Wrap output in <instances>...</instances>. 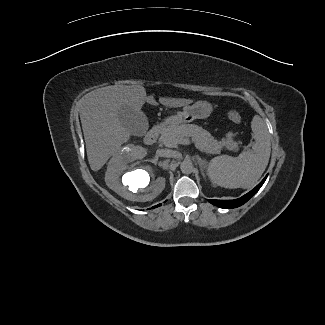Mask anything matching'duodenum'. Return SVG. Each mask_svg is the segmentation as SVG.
<instances>
[{
    "label": "duodenum",
    "instance_id": "obj_1",
    "mask_svg": "<svg viewBox=\"0 0 325 325\" xmlns=\"http://www.w3.org/2000/svg\"><path fill=\"white\" fill-rule=\"evenodd\" d=\"M160 126H155L152 128L144 137V143L146 145H152L159 136Z\"/></svg>",
    "mask_w": 325,
    "mask_h": 325
}]
</instances>
